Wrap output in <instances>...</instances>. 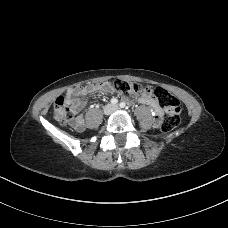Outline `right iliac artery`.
<instances>
[{"mask_svg": "<svg viewBox=\"0 0 228 228\" xmlns=\"http://www.w3.org/2000/svg\"><path fill=\"white\" fill-rule=\"evenodd\" d=\"M111 104H117L118 103V100L116 98H112L110 100Z\"/></svg>", "mask_w": 228, "mask_h": 228, "instance_id": "82829eb1", "label": "right iliac artery"}]
</instances>
